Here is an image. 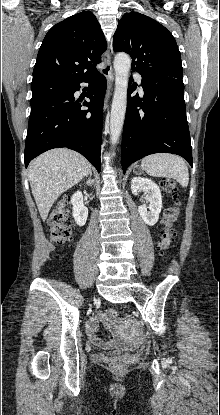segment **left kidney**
<instances>
[{
    "mask_svg": "<svg viewBox=\"0 0 220 415\" xmlns=\"http://www.w3.org/2000/svg\"><path fill=\"white\" fill-rule=\"evenodd\" d=\"M131 191L134 195H137L139 191L147 194L150 202L149 211H147L144 204L138 208V211L143 221L147 225L153 226L158 221L162 208V196L159 187L148 178L134 177L131 181Z\"/></svg>",
    "mask_w": 220,
    "mask_h": 415,
    "instance_id": "1",
    "label": "left kidney"
}]
</instances>
